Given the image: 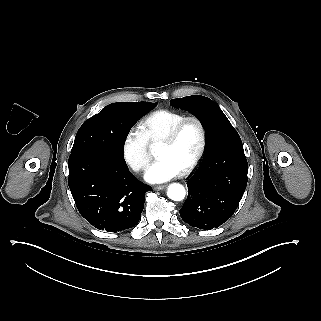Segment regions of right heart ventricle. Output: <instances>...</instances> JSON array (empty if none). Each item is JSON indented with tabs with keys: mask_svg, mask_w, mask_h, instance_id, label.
I'll return each instance as SVG.
<instances>
[{
	"mask_svg": "<svg viewBox=\"0 0 321 321\" xmlns=\"http://www.w3.org/2000/svg\"><path fill=\"white\" fill-rule=\"evenodd\" d=\"M186 116L182 112L158 109L148 114L142 120V130L147 138L161 137Z\"/></svg>",
	"mask_w": 321,
	"mask_h": 321,
	"instance_id": "e07e8e85",
	"label": "right heart ventricle"
}]
</instances>
